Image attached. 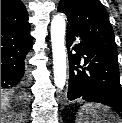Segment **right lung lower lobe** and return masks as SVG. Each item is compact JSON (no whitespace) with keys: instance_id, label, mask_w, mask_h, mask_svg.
<instances>
[{"instance_id":"1","label":"right lung lower lobe","mask_w":122,"mask_h":123,"mask_svg":"<svg viewBox=\"0 0 122 123\" xmlns=\"http://www.w3.org/2000/svg\"><path fill=\"white\" fill-rule=\"evenodd\" d=\"M29 30L1 29V96L13 95L21 102L29 81L26 62L32 48Z\"/></svg>"}]
</instances>
